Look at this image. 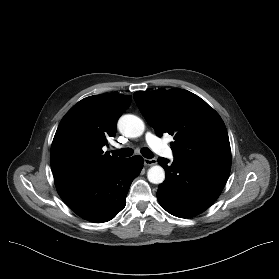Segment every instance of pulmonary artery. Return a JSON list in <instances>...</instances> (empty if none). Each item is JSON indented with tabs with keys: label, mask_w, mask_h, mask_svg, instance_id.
Here are the masks:
<instances>
[{
	"label": "pulmonary artery",
	"mask_w": 279,
	"mask_h": 279,
	"mask_svg": "<svg viewBox=\"0 0 279 279\" xmlns=\"http://www.w3.org/2000/svg\"><path fill=\"white\" fill-rule=\"evenodd\" d=\"M145 138L148 145L158 154L167 158L172 157V151L169 146L161 139L157 138L154 134L147 132Z\"/></svg>",
	"instance_id": "1"
}]
</instances>
